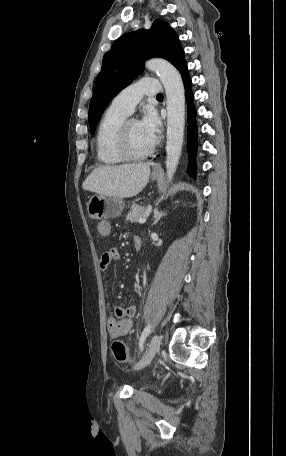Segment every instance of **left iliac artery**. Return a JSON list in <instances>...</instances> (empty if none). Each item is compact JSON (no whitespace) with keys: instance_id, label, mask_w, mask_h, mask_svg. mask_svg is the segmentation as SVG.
Wrapping results in <instances>:
<instances>
[{"instance_id":"44dca946","label":"left iliac artery","mask_w":286,"mask_h":456,"mask_svg":"<svg viewBox=\"0 0 286 456\" xmlns=\"http://www.w3.org/2000/svg\"><path fill=\"white\" fill-rule=\"evenodd\" d=\"M150 332H151V326H150V324H148V325L144 328V330H143V332H142V334H141V337H140L139 347H140V350H141V351L143 350V344H144V342H145V339H146V337L150 334Z\"/></svg>"}]
</instances>
